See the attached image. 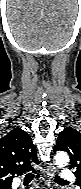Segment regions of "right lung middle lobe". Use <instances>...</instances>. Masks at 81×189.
Wrapping results in <instances>:
<instances>
[{"label":"right lung middle lobe","mask_w":81,"mask_h":189,"mask_svg":"<svg viewBox=\"0 0 81 189\" xmlns=\"http://www.w3.org/2000/svg\"><path fill=\"white\" fill-rule=\"evenodd\" d=\"M9 187H11V185L2 186V187H0V189H7V188H9Z\"/></svg>","instance_id":"obj_1"}]
</instances>
